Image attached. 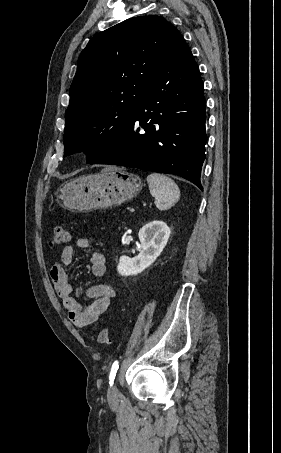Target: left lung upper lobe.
Listing matches in <instances>:
<instances>
[{
    "label": "left lung upper lobe",
    "mask_w": 281,
    "mask_h": 453,
    "mask_svg": "<svg viewBox=\"0 0 281 453\" xmlns=\"http://www.w3.org/2000/svg\"><path fill=\"white\" fill-rule=\"evenodd\" d=\"M179 31L157 15L133 17L96 34L78 59L65 112V155L94 164L129 125Z\"/></svg>",
    "instance_id": "5c2ea615"
}]
</instances>
